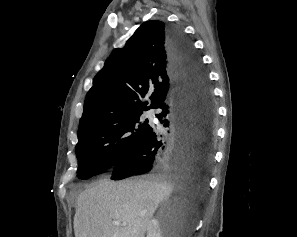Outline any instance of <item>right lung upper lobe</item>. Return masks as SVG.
<instances>
[{"mask_svg": "<svg viewBox=\"0 0 297 237\" xmlns=\"http://www.w3.org/2000/svg\"><path fill=\"white\" fill-rule=\"evenodd\" d=\"M168 25L143 23L123 48L115 49L86 95L78 134L105 119L143 112L166 102L175 89L168 48ZM152 102L141 100L149 95Z\"/></svg>", "mask_w": 297, "mask_h": 237, "instance_id": "obj_1", "label": "right lung upper lobe"}]
</instances>
